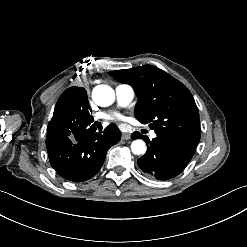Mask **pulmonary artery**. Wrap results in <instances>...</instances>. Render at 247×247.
<instances>
[{"label":"pulmonary artery","instance_id":"e3ab8cb5","mask_svg":"<svg viewBox=\"0 0 247 247\" xmlns=\"http://www.w3.org/2000/svg\"><path fill=\"white\" fill-rule=\"evenodd\" d=\"M117 102L121 106L129 104L135 97L134 87L130 84H118L115 88ZM155 132L151 133V137L155 138Z\"/></svg>","mask_w":247,"mask_h":247}]
</instances>
